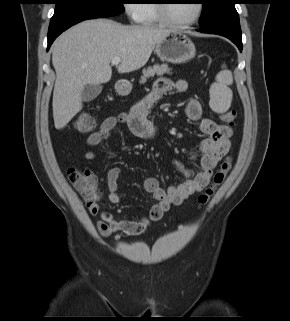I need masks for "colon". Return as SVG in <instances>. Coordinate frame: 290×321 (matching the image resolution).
<instances>
[{"instance_id": "5ec220e1", "label": "colon", "mask_w": 290, "mask_h": 321, "mask_svg": "<svg viewBox=\"0 0 290 321\" xmlns=\"http://www.w3.org/2000/svg\"><path fill=\"white\" fill-rule=\"evenodd\" d=\"M223 121L228 124H234L236 113L235 111H227L220 114ZM96 121L90 114H81L76 121V130L80 133H87L93 130ZM231 160H226L220 167L219 171L215 174L213 182L210 186L199 196V203L206 204L211 196L214 194L216 188L224 181L227 174L231 169ZM69 182L73 185L75 190L83 198L87 204H92L97 201L102 191L98 188L94 175L88 171L78 168H70L67 172ZM124 231L130 232L124 228Z\"/></svg>"}]
</instances>
